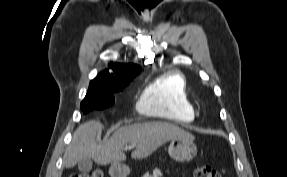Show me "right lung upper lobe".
Masks as SVG:
<instances>
[{
    "instance_id": "cb5924a9",
    "label": "right lung upper lobe",
    "mask_w": 287,
    "mask_h": 177,
    "mask_svg": "<svg viewBox=\"0 0 287 177\" xmlns=\"http://www.w3.org/2000/svg\"><path fill=\"white\" fill-rule=\"evenodd\" d=\"M109 67L113 73L105 70L91 82L102 86H115L123 83H130L140 72L141 68L135 64L110 63Z\"/></svg>"
}]
</instances>
